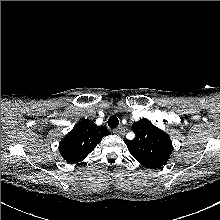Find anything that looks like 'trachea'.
<instances>
[{
	"label": "trachea",
	"instance_id": "obj_1",
	"mask_svg": "<svg viewBox=\"0 0 220 220\" xmlns=\"http://www.w3.org/2000/svg\"><path fill=\"white\" fill-rule=\"evenodd\" d=\"M108 126L110 128H117L119 125V120L115 115L110 116V118L108 119Z\"/></svg>",
	"mask_w": 220,
	"mask_h": 220
}]
</instances>
